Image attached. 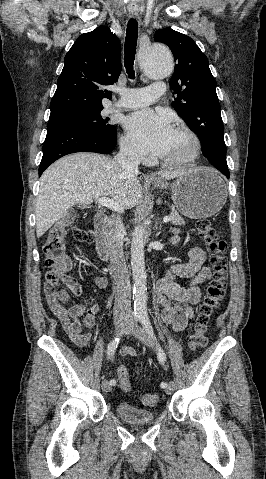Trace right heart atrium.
<instances>
[{"label":"right heart atrium","mask_w":266,"mask_h":479,"mask_svg":"<svg viewBox=\"0 0 266 479\" xmlns=\"http://www.w3.org/2000/svg\"><path fill=\"white\" fill-rule=\"evenodd\" d=\"M121 151L125 157L134 161L144 160L143 153L135 145V143L127 136L124 135L120 140Z\"/></svg>","instance_id":"right-heart-atrium-1"}]
</instances>
